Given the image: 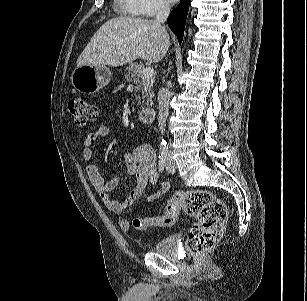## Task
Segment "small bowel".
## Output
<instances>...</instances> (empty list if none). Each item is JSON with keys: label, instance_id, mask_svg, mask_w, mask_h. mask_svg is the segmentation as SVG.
<instances>
[{"label": "small bowel", "instance_id": "c3829d8e", "mask_svg": "<svg viewBox=\"0 0 307 301\" xmlns=\"http://www.w3.org/2000/svg\"><path fill=\"white\" fill-rule=\"evenodd\" d=\"M110 134L111 128L109 125H101L95 131L87 133L83 140L82 156L84 161L88 163L86 174L91 185L100 194L106 208L118 216V225L120 229L122 231H128L130 222L124 216L125 211L143 195L148 184L154 185L159 183L160 176L157 170L154 150L148 144H140L133 152H125L123 154L127 174L135 175L137 178L135 187L124 201L119 202L114 200L110 193L118 186L120 181L119 178H112L105 181L97 167L91 163L93 160V147L95 143L99 139L107 137ZM169 188L170 186L167 182H161L155 192L147 195L145 201L147 203L155 202L158 198L167 194Z\"/></svg>", "mask_w": 307, "mask_h": 301}]
</instances>
